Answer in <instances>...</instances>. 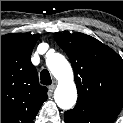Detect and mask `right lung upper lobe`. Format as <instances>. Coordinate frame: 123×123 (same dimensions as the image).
Wrapping results in <instances>:
<instances>
[{"instance_id":"right-lung-upper-lobe-1","label":"right lung upper lobe","mask_w":123,"mask_h":123,"mask_svg":"<svg viewBox=\"0 0 123 123\" xmlns=\"http://www.w3.org/2000/svg\"><path fill=\"white\" fill-rule=\"evenodd\" d=\"M38 38L29 33L1 36V123H33L47 99L30 59Z\"/></svg>"}]
</instances>
